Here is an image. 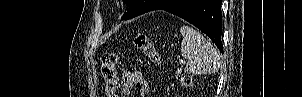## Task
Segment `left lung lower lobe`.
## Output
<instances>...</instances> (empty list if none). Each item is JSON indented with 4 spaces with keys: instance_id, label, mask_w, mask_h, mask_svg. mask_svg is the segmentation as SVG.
I'll use <instances>...</instances> for the list:
<instances>
[{
    "instance_id": "1",
    "label": "left lung lower lobe",
    "mask_w": 302,
    "mask_h": 97,
    "mask_svg": "<svg viewBox=\"0 0 302 97\" xmlns=\"http://www.w3.org/2000/svg\"><path fill=\"white\" fill-rule=\"evenodd\" d=\"M153 10H165L185 19L209 36L223 53L221 0H152L147 9L131 18Z\"/></svg>"
}]
</instances>
